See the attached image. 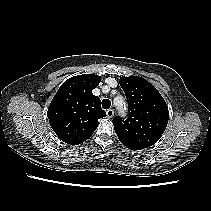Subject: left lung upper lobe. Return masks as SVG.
<instances>
[{"label":"left lung upper lobe","instance_id":"obj_1","mask_svg":"<svg viewBox=\"0 0 211 211\" xmlns=\"http://www.w3.org/2000/svg\"><path fill=\"white\" fill-rule=\"evenodd\" d=\"M129 107L126 120L113 119L119 140L131 150H141L155 144L166 129L168 106L158 90L138 76L120 78Z\"/></svg>","mask_w":211,"mask_h":211}]
</instances>
